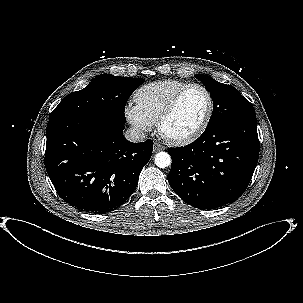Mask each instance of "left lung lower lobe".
<instances>
[{
	"label": "left lung lower lobe",
	"instance_id": "left-lung-lower-lobe-1",
	"mask_svg": "<svg viewBox=\"0 0 303 303\" xmlns=\"http://www.w3.org/2000/svg\"><path fill=\"white\" fill-rule=\"evenodd\" d=\"M168 182L187 204L215 209L246 190L259 157L256 116L208 128L193 143L169 148Z\"/></svg>",
	"mask_w": 303,
	"mask_h": 303
}]
</instances>
